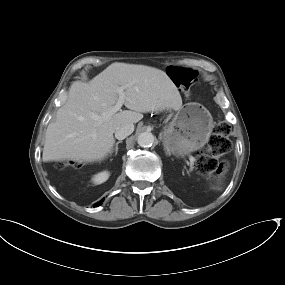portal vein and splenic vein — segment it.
I'll use <instances>...</instances> for the list:
<instances>
[{
	"label": "portal vein and splenic vein",
	"mask_w": 285,
	"mask_h": 285,
	"mask_svg": "<svg viewBox=\"0 0 285 285\" xmlns=\"http://www.w3.org/2000/svg\"><path fill=\"white\" fill-rule=\"evenodd\" d=\"M117 92H118V95H119V99H118L117 103L112 108V112L113 113H116V112H118L121 109L122 105L124 104V100H125L124 88L123 87H118L117 88ZM95 119L98 120V119H100V117L99 116H95ZM189 160L191 162H195L196 161V159L193 156H189Z\"/></svg>",
	"instance_id": "18ae733b"
}]
</instances>
